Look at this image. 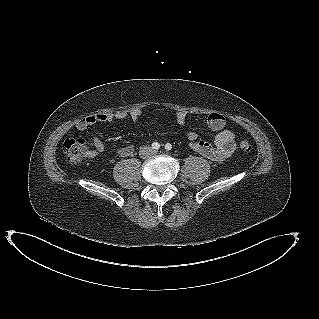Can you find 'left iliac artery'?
Listing matches in <instances>:
<instances>
[{
  "instance_id": "1",
  "label": "left iliac artery",
  "mask_w": 319,
  "mask_h": 319,
  "mask_svg": "<svg viewBox=\"0 0 319 319\" xmlns=\"http://www.w3.org/2000/svg\"><path fill=\"white\" fill-rule=\"evenodd\" d=\"M165 149H166L167 151L171 150V149H172V145H171L170 143H167V144L165 145Z\"/></svg>"
}]
</instances>
